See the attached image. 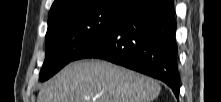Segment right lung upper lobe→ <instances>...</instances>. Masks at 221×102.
Returning a JSON list of instances; mask_svg holds the SVG:
<instances>
[{
    "label": "right lung upper lobe",
    "mask_w": 221,
    "mask_h": 102,
    "mask_svg": "<svg viewBox=\"0 0 221 102\" xmlns=\"http://www.w3.org/2000/svg\"><path fill=\"white\" fill-rule=\"evenodd\" d=\"M82 1H84V0H54L53 4L51 6V9L49 11V17H51V16H53L63 10L71 8V7L79 4ZM130 1L133 4V6L135 7L143 0H130Z\"/></svg>",
    "instance_id": "right-lung-upper-lobe-1"
}]
</instances>
